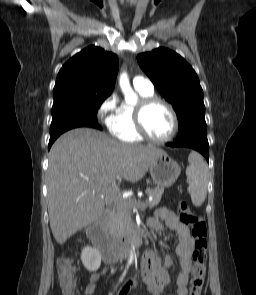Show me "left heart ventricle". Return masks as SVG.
Masks as SVG:
<instances>
[{
    "mask_svg": "<svg viewBox=\"0 0 256 295\" xmlns=\"http://www.w3.org/2000/svg\"><path fill=\"white\" fill-rule=\"evenodd\" d=\"M144 123L149 133L156 138L168 136L173 128L172 116L162 104H154L144 114Z\"/></svg>",
    "mask_w": 256,
    "mask_h": 295,
    "instance_id": "b2bd125f",
    "label": "left heart ventricle"
}]
</instances>
